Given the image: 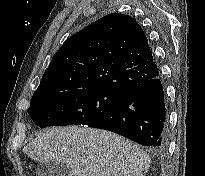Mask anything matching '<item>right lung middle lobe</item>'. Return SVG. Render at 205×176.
I'll list each match as a JSON object with an SVG mask.
<instances>
[{"label": "right lung middle lobe", "instance_id": "1", "mask_svg": "<svg viewBox=\"0 0 205 176\" xmlns=\"http://www.w3.org/2000/svg\"><path fill=\"white\" fill-rule=\"evenodd\" d=\"M123 93L107 88L68 90L33 96L28 113L40 127L89 125Z\"/></svg>", "mask_w": 205, "mask_h": 176}]
</instances>
